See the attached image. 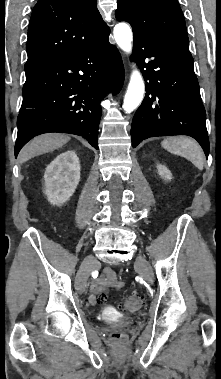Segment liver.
<instances>
[{"label":"liver","mask_w":221,"mask_h":379,"mask_svg":"<svg viewBox=\"0 0 221 379\" xmlns=\"http://www.w3.org/2000/svg\"><path fill=\"white\" fill-rule=\"evenodd\" d=\"M70 140V137L60 133L42 134L33 138L20 152V162H26L29 159L54 151Z\"/></svg>","instance_id":"1"}]
</instances>
